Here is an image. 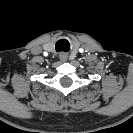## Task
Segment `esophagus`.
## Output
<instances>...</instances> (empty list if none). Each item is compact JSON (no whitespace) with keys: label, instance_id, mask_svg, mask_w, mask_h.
<instances>
[{"label":"esophagus","instance_id":"34e87169","mask_svg":"<svg viewBox=\"0 0 133 133\" xmlns=\"http://www.w3.org/2000/svg\"><path fill=\"white\" fill-rule=\"evenodd\" d=\"M59 58H60L61 61H66L67 60V55L65 53H61L59 55Z\"/></svg>","mask_w":133,"mask_h":133}]
</instances>
